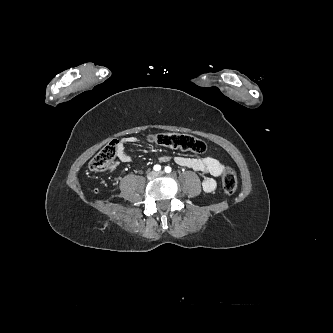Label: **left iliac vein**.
<instances>
[{
    "label": "left iliac vein",
    "mask_w": 333,
    "mask_h": 333,
    "mask_svg": "<svg viewBox=\"0 0 333 333\" xmlns=\"http://www.w3.org/2000/svg\"><path fill=\"white\" fill-rule=\"evenodd\" d=\"M161 175H163V172L156 173V176H161Z\"/></svg>",
    "instance_id": "obj_1"
}]
</instances>
